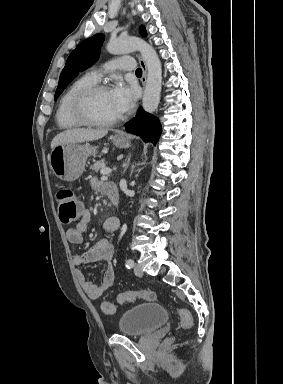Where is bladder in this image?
I'll use <instances>...</instances> for the list:
<instances>
[{"mask_svg":"<svg viewBox=\"0 0 283 384\" xmlns=\"http://www.w3.org/2000/svg\"><path fill=\"white\" fill-rule=\"evenodd\" d=\"M168 320L166 309L159 302H141L122 311L117 327L124 336H144Z\"/></svg>","mask_w":283,"mask_h":384,"instance_id":"31cf9c89","label":"bladder"}]
</instances>
